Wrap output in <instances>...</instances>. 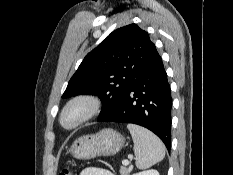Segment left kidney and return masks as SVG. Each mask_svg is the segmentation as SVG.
Listing matches in <instances>:
<instances>
[{
    "mask_svg": "<svg viewBox=\"0 0 233 175\" xmlns=\"http://www.w3.org/2000/svg\"><path fill=\"white\" fill-rule=\"evenodd\" d=\"M133 175H159V172L157 170L150 169V170H145L139 173H135Z\"/></svg>",
    "mask_w": 233,
    "mask_h": 175,
    "instance_id": "1",
    "label": "left kidney"
}]
</instances>
